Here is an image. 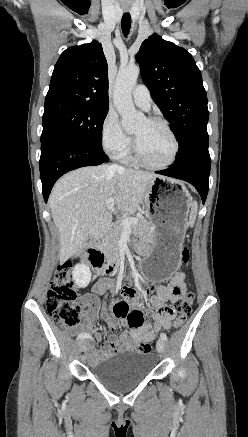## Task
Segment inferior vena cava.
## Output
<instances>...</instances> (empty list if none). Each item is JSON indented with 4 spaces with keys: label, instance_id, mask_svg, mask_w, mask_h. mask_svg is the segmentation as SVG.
Masks as SVG:
<instances>
[{
    "label": "inferior vena cava",
    "instance_id": "obj_1",
    "mask_svg": "<svg viewBox=\"0 0 248 437\" xmlns=\"http://www.w3.org/2000/svg\"><path fill=\"white\" fill-rule=\"evenodd\" d=\"M112 166H113V168H115V169H117V170H121V169H123L122 166H119V165H117V164H114V165H112Z\"/></svg>",
    "mask_w": 248,
    "mask_h": 437
}]
</instances>
